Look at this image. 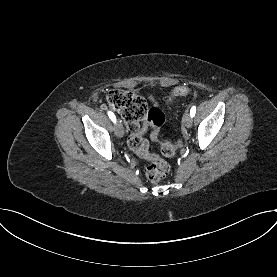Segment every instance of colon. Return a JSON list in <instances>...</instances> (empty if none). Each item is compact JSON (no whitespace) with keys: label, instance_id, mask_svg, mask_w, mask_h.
Returning <instances> with one entry per match:
<instances>
[{"label":"colon","instance_id":"obj_1","mask_svg":"<svg viewBox=\"0 0 277 277\" xmlns=\"http://www.w3.org/2000/svg\"><path fill=\"white\" fill-rule=\"evenodd\" d=\"M190 89L186 86L175 88L169 97L173 101L176 97L184 96ZM105 101L110 108L120 113L128 128L132 131L128 145L139 157L150 161L146 168V177L156 183L169 172V164L159 156L150 153L149 144L140 130V123H147L151 127V138L158 142L160 127L164 123V114L158 108H149L146 101L139 95L122 89H112L106 92ZM180 143L170 141L160 142L161 152L166 157H172Z\"/></svg>","mask_w":277,"mask_h":277}]
</instances>
